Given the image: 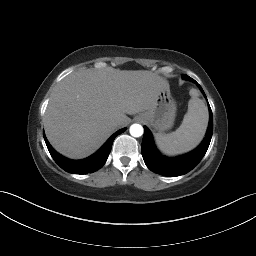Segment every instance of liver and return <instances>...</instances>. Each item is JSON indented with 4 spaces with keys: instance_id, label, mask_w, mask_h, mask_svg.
Here are the masks:
<instances>
[{
    "instance_id": "1",
    "label": "liver",
    "mask_w": 256,
    "mask_h": 256,
    "mask_svg": "<svg viewBox=\"0 0 256 256\" xmlns=\"http://www.w3.org/2000/svg\"><path fill=\"white\" fill-rule=\"evenodd\" d=\"M166 85L165 79L146 70L73 72L51 94L43 119L47 139L62 155L85 158L129 123L126 114L148 110Z\"/></svg>"
}]
</instances>
